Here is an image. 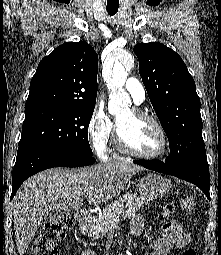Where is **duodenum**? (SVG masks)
Wrapping results in <instances>:
<instances>
[{
    "label": "duodenum",
    "instance_id": "410a0bca",
    "mask_svg": "<svg viewBox=\"0 0 221 255\" xmlns=\"http://www.w3.org/2000/svg\"><path fill=\"white\" fill-rule=\"evenodd\" d=\"M91 219L90 214L85 210H80L75 214V220L80 225H87L89 224Z\"/></svg>",
    "mask_w": 221,
    "mask_h": 255
}]
</instances>
